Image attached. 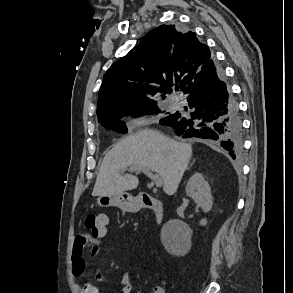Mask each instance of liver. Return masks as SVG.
Masks as SVG:
<instances>
[{"instance_id": "1", "label": "liver", "mask_w": 293, "mask_h": 293, "mask_svg": "<svg viewBox=\"0 0 293 293\" xmlns=\"http://www.w3.org/2000/svg\"><path fill=\"white\" fill-rule=\"evenodd\" d=\"M192 156L191 144L177 142L153 130H141L119 141L103 158L92 196L116 195L137 188L139 180L123 174L127 167H145L163 180L173 195Z\"/></svg>"}]
</instances>
